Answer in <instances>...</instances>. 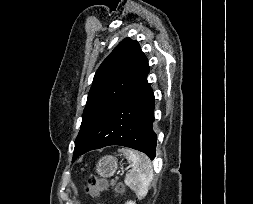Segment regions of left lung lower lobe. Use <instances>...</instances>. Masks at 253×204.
<instances>
[{
	"label": "left lung lower lobe",
	"instance_id": "obj_1",
	"mask_svg": "<svg viewBox=\"0 0 253 204\" xmlns=\"http://www.w3.org/2000/svg\"><path fill=\"white\" fill-rule=\"evenodd\" d=\"M155 98L147 81L122 102L95 121L89 128L86 144L73 156L110 145H120L144 152L153 160L156 156L157 135L153 131Z\"/></svg>",
	"mask_w": 253,
	"mask_h": 204
}]
</instances>
